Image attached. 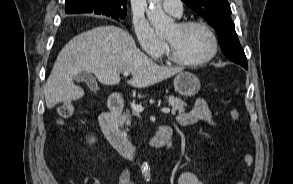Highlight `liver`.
Returning <instances> with one entry per match:
<instances>
[{"label":"liver","instance_id":"1","mask_svg":"<svg viewBox=\"0 0 293 184\" xmlns=\"http://www.w3.org/2000/svg\"><path fill=\"white\" fill-rule=\"evenodd\" d=\"M182 70L154 63L122 28L99 26L75 36L60 51L44 86L45 102L51 109L63 101L82 98L84 90L73 82L82 72L94 73L104 85H117L120 73L129 71L132 78L127 83L144 88Z\"/></svg>","mask_w":293,"mask_h":184}]
</instances>
